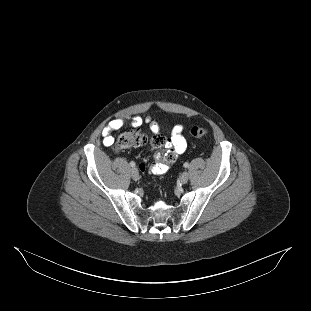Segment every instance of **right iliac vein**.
<instances>
[{"instance_id":"63e3f726","label":"right iliac vein","mask_w":311,"mask_h":311,"mask_svg":"<svg viewBox=\"0 0 311 311\" xmlns=\"http://www.w3.org/2000/svg\"><path fill=\"white\" fill-rule=\"evenodd\" d=\"M131 177L134 180H138L139 179V172L136 168H132L131 169Z\"/></svg>"}]
</instances>
